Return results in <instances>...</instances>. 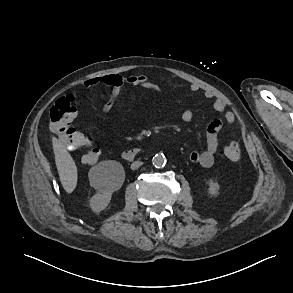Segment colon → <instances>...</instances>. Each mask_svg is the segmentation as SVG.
<instances>
[{
    "mask_svg": "<svg viewBox=\"0 0 293 293\" xmlns=\"http://www.w3.org/2000/svg\"><path fill=\"white\" fill-rule=\"evenodd\" d=\"M74 102V95L59 98L50 109V126L65 147L84 151L82 154L84 164L94 165L98 161L100 151L85 135L72 126V121L77 113ZM224 153L228 159L238 160L240 157L238 142L230 141L225 146Z\"/></svg>",
    "mask_w": 293,
    "mask_h": 293,
    "instance_id": "colon-1",
    "label": "colon"
}]
</instances>
